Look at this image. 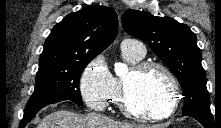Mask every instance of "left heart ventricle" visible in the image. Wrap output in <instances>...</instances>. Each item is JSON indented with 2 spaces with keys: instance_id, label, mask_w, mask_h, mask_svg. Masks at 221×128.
<instances>
[{
  "instance_id": "b2bd125f",
  "label": "left heart ventricle",
  "mask_w": 221,
  "mask_h": 128,
  "mask_svg": "<svg viewBox=\"0 0 221 128\" xmlns=\"http://www.w3.org/2000/svg\"><path fill=\"white\" fill-rule=\"evenodd\" d=\"M128 102L131 108L143 114L164 112L169 105L170 87L164 74L153 69L142 75L128 74Z\"/></svg>"
}]
</instances>
